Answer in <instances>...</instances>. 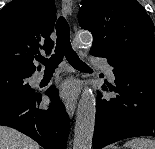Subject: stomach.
<instances>
[{
    "label": "stomach",
    "mask_w": 155,
    "mask_h": 149,
    "mask_svg": "<svg viewBox=\"0 0 155 149\" xmlns=\"http://www.w3.org/2000/svg\"><path fill=\"white\" fill-rule=\"evenodd\" d=\"M112 149H119V148H117V147H114V148H112Z\"/></svg>",
    "instance_id": "obj_1"
}]
</instances>
